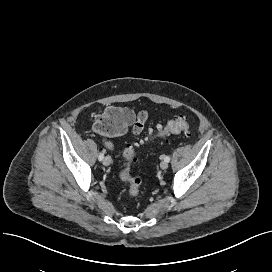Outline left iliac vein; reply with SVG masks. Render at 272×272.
I'll list each match as a JSON object with an SVG mask.
<instances>
[{"label":"left iliac vein","mask_w":272,"mask_h":272,"mask_svg":"<svg viewBox=\"0 0 272 272\" xmlns=\"http://www.w3.org/2000/svg\"><path fill=\"white\" fill-rule=\"evenodd\" d=\"M160 168H161L162 170H166V169L168 168V162H166L165 160L162 161V162L160 163Z\"/></svg>","instance_id":"obj_1"}]
</instances>
